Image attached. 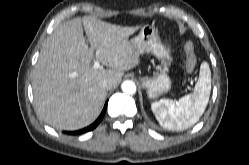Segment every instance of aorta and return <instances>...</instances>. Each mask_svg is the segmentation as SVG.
<instances>
[{"instance_id": "1", "label": "aorta", "mask_w": 249, "mask_h": 165, "mask_svg": "<svg viewBox=\"0 0 249 165\" xmlns=\"http://www.w3.org/2000/svg\"><path fill=\"white\" fill-rule=\"evenodd\" d=\"M121 89L124 93L132 95L135 94L136 92V85L133 81L131 80H125L122 84H121Z\"/></svg>"}]
</instances>
